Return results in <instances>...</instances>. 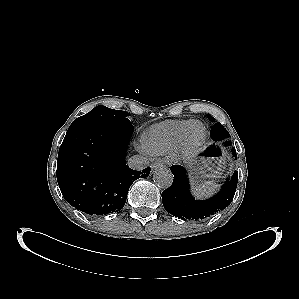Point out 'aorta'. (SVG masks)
<instances>
[{"mask_svg":"<svg viewBox=\"0 0 299 299\" xmlns=\"http://www.w3.org/2000/svg\"><path fill=\"white\" fill-rule=\"evenodd\" d=\"M173 177L172 172L166 168H160L153 175L154 182L162 188L170 187L173 183Z\"/></svg>","mask_w":299,"mask_h":299,"instance_id":"obj_1","label":"aorta"}]
</instances>
